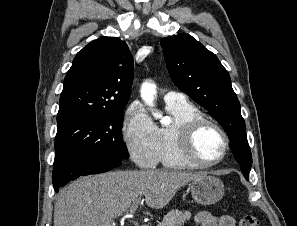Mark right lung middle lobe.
<instances>
[{
  "label": "right lung middle lobe",
  "mask_w": 297,
  "mask_h": 226,
  "mask_svg": "<svg viewBox=\"0 0 297 226\" xmlns=\"http://www.w3.org/2000/svg\"><path fill=\"white\" fill-rule=\"evenodd\" d=\"M123 111L115 114L84 113L58 121L55 158L78 153H101L129 158L122 138Z\"/></svg>",
  "instance_id": "obj_1"
}]
</instances>
